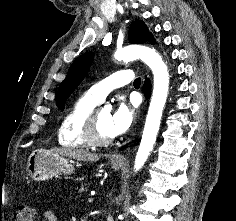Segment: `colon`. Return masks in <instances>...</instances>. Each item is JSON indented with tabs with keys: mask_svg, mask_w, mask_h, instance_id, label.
Returning a JSON list of instances; mask_svg holds the SVG:
<instances>
[{
	"mask_svg": "<svg viewBox=\"0 0 236 221\" xmlns=\"http://www.w3.org/2000/svg\"><path fill=\"white\" fill-rule=\"evenodd\" d=\"M35 211L26 204L20 205L14 214V221H34Z\"/></svg>",
	"mask_w": 236,
	"mask_h": 221,
	"instance_id": "1",
	"label": "colon"
}]
</instances>
